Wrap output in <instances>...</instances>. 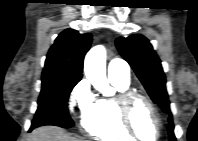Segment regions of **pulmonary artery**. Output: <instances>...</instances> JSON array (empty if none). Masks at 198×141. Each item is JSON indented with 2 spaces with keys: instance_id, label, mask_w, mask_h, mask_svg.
Wrapping results in <instances>:
<instances>
[{
  "instance_id": "obj_1",
  "label": "pulmonary artery",
  "mask_w": 198,
  "mask_h": 141,
  "mask_svg": "<svg viewBox=\"0 0 198 141\" xmlns=\"http://www.w3.org/2000/svg\"><path fill=\"white\" fill-rule=\"evenodd\" d=\"M108 77L110 81L117 80L129 83L130 75L127 65L119 59H113L108 65Z\"/></svg>"
}]
</instances>
